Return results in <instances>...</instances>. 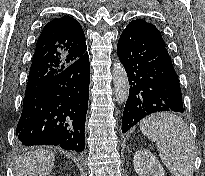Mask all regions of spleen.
Listing matches in <instances>:
<instances>
[{
  "mask_svg": "<svg viewBox=\"0 0 205 176\" xmlns=\"http://www.w3.org/2000/svg\"><path fill=\"white\" fill-rule=\"evenodd\" d=\"M141 132L156 142L163 163L172 176H193L195 146L189 127L173 113H158L140 123Z\"/></svg>",
  "mask_w": 205,
  "mask_h": 176,
  "instance_id": "1",
  "label": "spleen"
}]
</instances>
